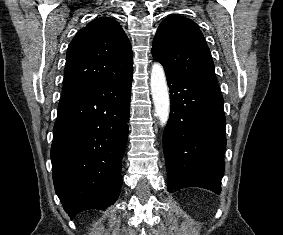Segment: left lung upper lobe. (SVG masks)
Instances as JSON below:
<instances>
[{
	"label": "left lung upper lobe",
	"mask_w": 283,
	"mask_h": 235,
	"mask_svg": "<svg viewBox=\"0 0 283 235\" xmlns=\"http://www.w3.org/2000/svg\"><path fill=\"white\" fill-rule=\"evenodd\" d=\"M152 55L161 62L165 73L218 85L205 38L198 25L186 17L170 15L160 24Z\"/></svg>",
	"instance_id": "1"
}]
</instances>
